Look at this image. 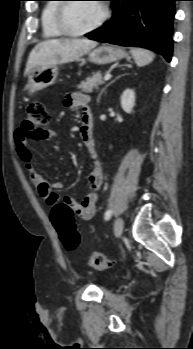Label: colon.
Returning a JSON list of instances; mask_svg holds the SVG:
<instances>
[{"label": "colon", "instance_id": "obj_1", "mask_svg": "<svg viewBox=\"0 0 193 349\" xmlns=\"http://www.w3.org/2000/svg\"><path fill=\"white\" fill-rule=\"evenodd\" d=\"M52 124V115L42 102L31 103L22 122V130L33 140L45 138ZM51 221L56 228L60 240L67 250H74L79 245V233L75 225V214L72 207L65 201H58L52 206ZM88 264L97 270H105L111 261L104 255L93 252Z\"/></svg>", "mask_w": 193, "mask_h": 349}]
</instances>
